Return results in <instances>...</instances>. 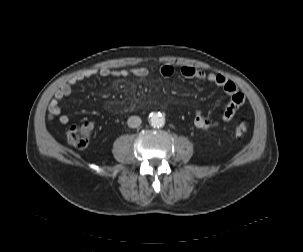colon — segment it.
Here are the masks:
<instances>
[{"label":"colon","mask_w":303,"mask_h":252,"mask_svg":"<svg viewBox=\"0 0 303 252\" xmlns=\"http://www.w3.org/2000/svg\"><path fill=\"white\" fill-rule=\"evenodd\" d=\"M93 125L91 123H86L81 126H73L68 131L69 142L79 148H85L90 142L91 132ZM249 130V125L247 122H240L234 128V134L236 136H244Z\"/></svg>","instance_id":"5ec220e1"}]
</instances>
